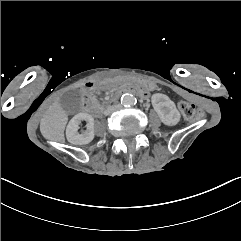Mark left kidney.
Returning <instances> with one entry per match:
<instances>
[{
    "mask_svg": "<svg viewBox=\"0 0 241 241\" xmlns=\"http://www.w3.org/2000/svg\"><path fill=\"white\" fill-rule=\"evenodd\" d=\"M151 104L160 121L167 127L176 126L181 120V113L167 95L155 93L151 96Z\"/></svg>",
    "mask_w": 241,
    "mask_h": 241,
    "instance_id": "1",
    "label": "left kidney"
}]
</instances>
